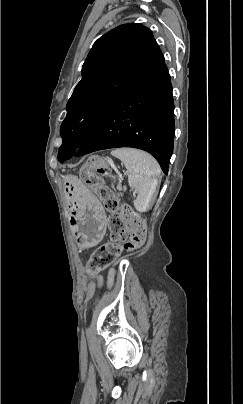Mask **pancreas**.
Wrapping results in <instances>:
<instances>
[{
    "mask_svg": "<svg viewBox=\"0 0 243 404\" xmlns=\"http://www.w3.org/2000/svg\"><path fill=\"white\" fill-rule=\"evenodd\" d=\"M117 190H122L121 182H119V184L117 186ZM126 190H127V186H123V192H126Z\"/></svg>",
    "mask_w": 243,
    "mask_h": 404,
    "instance_id": "1",
    "label": "pancreas"
}]
</instances>
